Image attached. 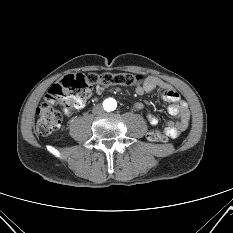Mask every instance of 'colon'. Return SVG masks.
Masks as SVG:
<instances>
[{
  "label": "colon",
  "instance_id": "obj_1",
  "mask_svg": "<svg viewBox=\"0 0 233 233\" xmlns=\"http://www.w3.org/2000/svg\"><path fill=\"white\" fill-rule=\"evenodd\" d=\"M143 81V77L133 73H85L69 74L59 82L53 84L43 102L37 109V132L49 135L61 127V112L78 102L86 100L92 94L94 86H136ZM151 142L165 143L167 135L160 130H153L147 134Z\"/></svg>",
  "mask_w": 233,
  "mask_h": 233
}]
</instances>
